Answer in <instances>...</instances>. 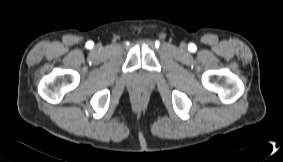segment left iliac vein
<instances>
[{
	"mask_svg": "<svg viewBox=\"0 0 283 162\" xmlns=\"http://www.w3.org/2000/svg\"><path fill=\"white\" fill-rule=\"evenodd\" d=\"M181 48H182V49H185V48H186V45H185V44H182V45H181Z\"/></svg>",
	"mask_w": 283,
	"mask_h": 162,
	"instance_id": "obj_1",
	"label": "left iliac vein"
}]
</instances>
